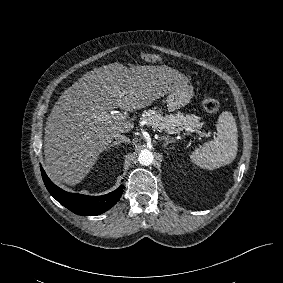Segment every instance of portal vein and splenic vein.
Instances as JSON below:
<instances>
[{"label": "portal vein and splenic vein", "mask_w": 283, "mask_h": 283, "mask_svg": "<svg viewBox=\"0 0 283 283\" xmlns=\"http://www.w3.org/2000/svg\"><path fill=\"white\" fill-rule=\"evenodd\" d=\"M99 120H108V119H114V120H120V121H124L126 120V115H124L123 113L117 112V111H113L110 114L107 112H102L100 115H98L97 117ZM189 130V129H187ZM180 130L177 131H173V132H169V134H174V133H179Z\"/></svg>", "instance_id": "portal-vein-and-splenic-vein-1"}]
</instances>
